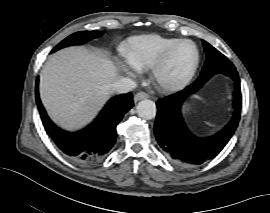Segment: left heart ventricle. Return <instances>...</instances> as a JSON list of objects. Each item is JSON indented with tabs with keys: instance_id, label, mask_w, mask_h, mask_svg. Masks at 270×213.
I'll use <instances>...</instances> for the list:
<instances>
[{
	"instance_id": "1",
	"label": "left heart ventricle",
	"mask_w": 270,
	"mask_h": 213,
	"mask_svg": "<svg viewBox=\"0 0 270 213\" xmlns=\"http://www.w3.org/2000/svg\"><path fill=\"white\" fill-rule=\"evenodd\" d=\"M195 62V51L191 44L182 43L172 52L168 62L159 74L166 83L175 82L189 73Z\"/></svg>"
}]
</instances>
